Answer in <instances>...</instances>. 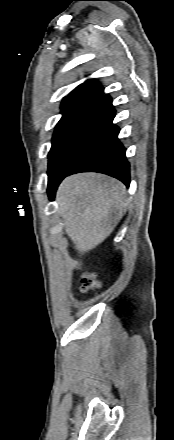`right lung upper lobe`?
Listing matches in <instances>:
<instances>
[{"label":"right lung upper lobe","instance_id":"right-lung-upper-lobe-1","mask_svg":"<svg viewBox=\"0 0 174 440\" xmlns=\"http://www.w3.org/2000/svg\"><path fill=\"white\" fill-rule=\"evenodd\" d=\"M102 94L103 88L94 79H89L64 98L61 108L64 110L87 100L99 99Z\"/></svg>","mask_w":174,"mask_h":440}]
</instances>
